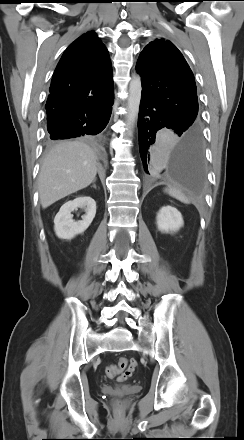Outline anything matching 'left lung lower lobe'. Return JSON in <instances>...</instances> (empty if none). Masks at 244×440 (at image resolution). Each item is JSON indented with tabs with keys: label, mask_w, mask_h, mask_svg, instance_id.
Returning <instances> with one entry per match:
<instances>
[{
	"label": "left lung lower lobe",
	"mask_w": 244,
	"mask_h": 440,
	"mask_svg": "<svg viewBox=\"0 0 244 440\" xmlns=\"http://www.w3.org/2000/svg\"><path fill=\"white\" fill-rule=\"evenodd\" d=\"M181 136L176 146L166 145L160 130ZM138 138L144 170L149 175L172 173L191 192L200 191L204 180L202 134L180 125L167 109L142 96Z\"/></svg>",
	"instance_id": "left-lung-lower-lobe-1"
}]
</instances>
